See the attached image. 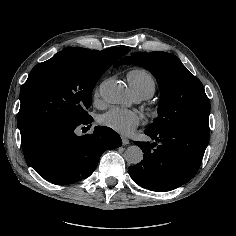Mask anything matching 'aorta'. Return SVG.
<instances>
[{
	"label": "aorta",
	"mask_w": 236,
	"mask_h": 236,
	"mask_svg": "<svg viewBox=\"0 0 236 236\" xmlns=\"http://www.w3.org/2000/svg\"><path fill=\"white\" fill-rule=\"evenodd\" d=\"M101 95L108 103H121L126 98L125 87L117 81L110 80L103 83ZM124 157L127 162L136 165L143 160V152L140 147L131 145L125 150Z\"/></svg>",
	"instance_id": "1"
}]
</instances>
